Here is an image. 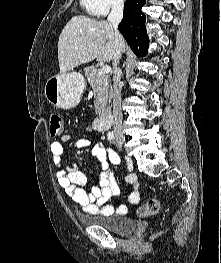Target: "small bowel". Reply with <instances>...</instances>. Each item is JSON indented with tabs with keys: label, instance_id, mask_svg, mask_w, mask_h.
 Masks as SVG:
<instances>
[{
	"label": "small bowel",
	"instance_id": "small-bowel-1",
	"mask_svg": "<svg viewBox=\"0 0 221 263\" xmlns=\"http://www.w3.org/2000/svg\"><path fill=\"white\" fill-rule=\"evenodd\" d=\"M65 146L68 148L89 147L93 156L99 161L101 172L97 177V184L89 192L82 188L87 182L85 173L76 169V163L66 154ZM50 152L56 167L58 184L83 211L89 214L100 213L102 215H111L113 213L123 215L127 213L126 205L120 204L114 207L108 203L111 197L120 193L113 172L109 168V164H120V157L117 153L106 149L101 143L94 142L88 135L76 136L73 133L64 134L59 141L52 142ZM124 182L132 187L128 198L129 202L133 205L138 204L140 193L136 175L134 173L127 174Z\"/></svg>",
	"mask_w": 221,
	"mask_h": 263
}]
</instances>
